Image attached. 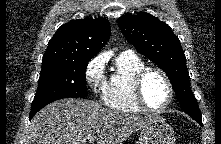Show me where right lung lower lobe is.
Returning <instances> with one entry per match:
<instances>
[{"instance_id": "obj_1", "label": "right lung lower lobe", "mask_w": 221, "mask_h": 144, "mask_svg": "<svg viewBox=\"0 0 221 144\" xmlns=\"http://www.w3.org/2000/svg\"><path fill=\"white\" fill-rule=\"evenodd\" d=\"M34 114H35V112H31L29 118L31 119V118L33 117Z\"/></svg>"}]
</instances>
